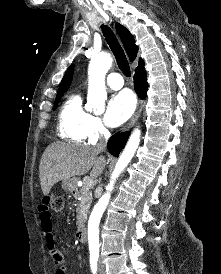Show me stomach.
Masks as SVG:
<instances>
[{"mask_svg":"<svg viewBox=\"0 0 221 274\" xmlns=\"http://www.w3.org/2000/svg\"><path fill=\"white\" fill-rule=\"evenodd\" d=\"M62 188L68 192V193H73L76 191V180L74 178L64 180L62 182Z\"/></svg>","mask_w":221,"mask_h":274,"instance_id":"stomach-1","label":"stomach"}]
</instances>
